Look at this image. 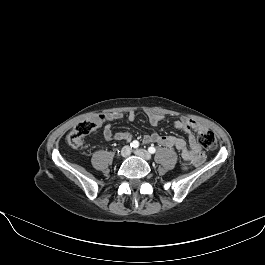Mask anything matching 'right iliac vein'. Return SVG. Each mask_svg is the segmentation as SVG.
<instances>
[{
    "label": "right iliac vein",
    "mask_w": 265,
    "mask_h": 265,
    "mask_svg": "<svg viewBox=\"0 0 265 265\" xmlns=\"http://www.w3.org/2000/svg\"><path fill=\"white\" fill-rule=\"evenodd\" d=\"M130 153H131V149H130L129 146H124V147L121 149V152H120L121 157H123V158L128 157V156L130 155Z\"/></svg>",
    "instance_id": "1"
}]
</instances>
